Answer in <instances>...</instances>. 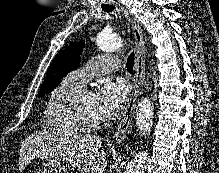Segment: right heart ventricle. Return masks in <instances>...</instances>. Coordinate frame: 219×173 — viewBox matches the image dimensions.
Instances as JSON below:
<instances>
[{
	"instance_id": "obj_1",
	"label": "right heart ventricle",
	"mask_w": 219,
	"mask_h": 173,
	"mask_svg": "<svg viewBox=\"0 0 219 173\" xmlns=\"http://www.w3.org/2000/svg\"><path fill=\"white\" fill-rule=\"evenodd\" d=\"M82 90V87L70 82L67 77L56 86L48 98L44 120L46 127L60 134H75L82 132L71 117L70 103L72 99Z\"/></svg>"
}]
</instances>
